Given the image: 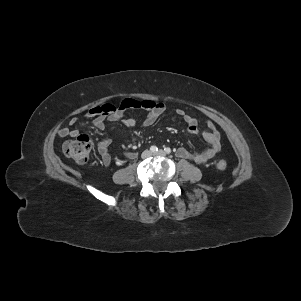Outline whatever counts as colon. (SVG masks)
Here are the masks:
<instances>
[{"instance_id": "5ec220e1", "label": "colon", "mask_w": 301, "mask_h": 301, "mask_svg": "<svg viewBox=\"0 0 301 301\" xmlns=\"http://www.w3.org/2000/svg\"><path fill=\"white\" fill-rule=\"evenodd\" d=\"M117 107L116 104H105L102 106L101 111L112 112L115 111ZM91 148V138L86 134L78 135L75 139L68 140L63 144L64 154L77 163H86L88 161ZM216 166L219 170L223 171L227 168V163L224 160H220Z\"/></svg>"}]
</instances>
